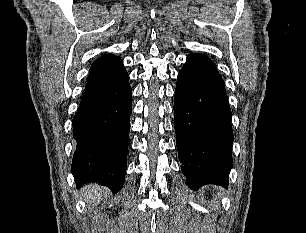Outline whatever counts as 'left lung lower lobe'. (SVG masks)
<instances>
[{
  "mask_svg": "<svg viewBox=\"0 0 306 233\" xmlns=\"http://www.w3.org/2000/svg\"><path fill=\"white\" fill-rule=\"evenodd\" d=\"M174 123L188 186H228L233 167L231 110L222 77L205 55L190 54L178 74Z\"/></svg>",
  "mask_w": 306,
  "mask_h": 233,
  "instance_id": "0a47b994",
  "label": "left lung lower lobe"
}]
</instances>
